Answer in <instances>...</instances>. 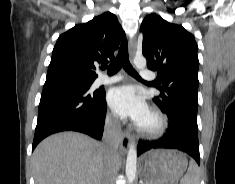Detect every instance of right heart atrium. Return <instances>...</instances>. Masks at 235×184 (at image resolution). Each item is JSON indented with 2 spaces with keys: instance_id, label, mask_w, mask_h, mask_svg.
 <instances>
[{
  "instance_id": "d8ad5b80",
  "label": "right heart atrium",
  "mask_w": 235,
  "mask_h": 184,
  "mask_svg": "<svg viewBox=\"0 0 235 184\" xmlns=\"http://www.w3.org/2000/svg\"><path fill=\"white\" fill-rule=\"evenodd\" d=\"M108 125H109V128H110L112 131H114V132H118V131H119V126H118V124H117L116 122L110 120L109 123H108Z\"/></svg>"
}]
</instances>
